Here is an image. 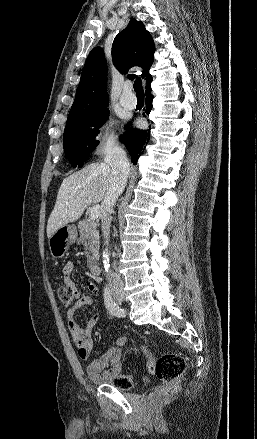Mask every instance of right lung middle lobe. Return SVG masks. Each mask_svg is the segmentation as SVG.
Listing matches in <instances>:
<instances>
[{
    "label": "right lung middle lobe",
    "instance_id": "1",
    "mask_svg": "<svg viewBox=\"0 0 257 439\" xmlns=\"http://www.w3.org/2000/svg\"><path fill=\"white\" fill-rule=\"evenodd\" d=\"M108 117L109 109L106 106L89 115L67 121L64 130L63 147L73 167H82L85 158L99 144V141L94 138Z\"/></svg>",
    "mask_w": 257,
    "mask_h": 439
}]
</instances>
